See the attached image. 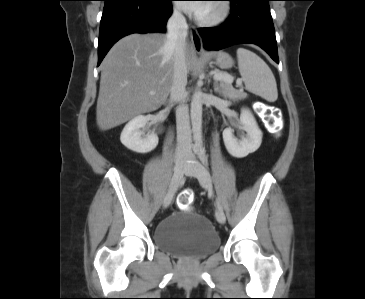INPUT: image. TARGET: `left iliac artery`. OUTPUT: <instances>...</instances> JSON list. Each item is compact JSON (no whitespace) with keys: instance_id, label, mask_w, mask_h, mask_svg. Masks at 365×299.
<instances>
[{"instance_id":"44dca946","label":"left iliac artery","mask_w":365,"mask_h":299,"mask_svg":"<svg viewBox=\"0 0 365 299\" xmlns=\"http://www.w3.org/2000/svg\"><path fill=\"white\" fill-rule=\"evenodd\" d=\"M199 154H200V159L203 162L204 166L206 168H208V163H207V158H206V155H205V150L204 149H200V153ZM217 206L222 209V206H221L219 200L217 201Z\"/></svg>"}]
</instances>
